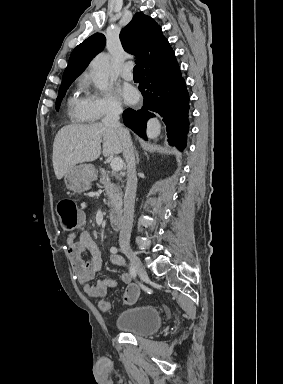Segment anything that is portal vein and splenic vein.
I'll use <instances>...</instances> for the list:
<instances>
[{"label": "portal vein and splenic vein", "mask_w": 283, "mask_h": 384, "mask_svg": "<svg viewBox=\"0 0 283 384\" xmlns=\"http://www.w3.org/2000/svg\"><path fill=\"white\" fill-rule=\"evenodd\" d=\"M112 172H120L123 168V160L121 158H113L111 164Z\"/></svg>", "instance_id": "portal-vein-and-splenic-vein-1"}]
</instances>
